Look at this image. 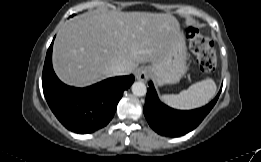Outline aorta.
<instances>
[{
  "instance_id": "762f6f07",
  "label": "aorta",
  "mask_w": 261,
  "mask_h": 162,
  "mask_svg": "<svg viewBox=\"0 0 261 162\" xmlns=\"http://www.w3.org/2000/svg\"><path fill=\"white\" fill-rule=\"evenodd\" d=\"M132 92L135 96H145L147 92L146 85L143 82H135L132 85Z\"/></svg>"
}]
</instances>
